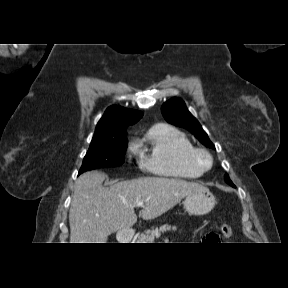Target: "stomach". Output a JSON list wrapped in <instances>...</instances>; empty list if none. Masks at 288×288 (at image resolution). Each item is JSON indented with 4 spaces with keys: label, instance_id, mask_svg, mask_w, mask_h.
I'll use <instances>...</instances> for the list:
<instances>
[{
    "label": "stomach",
    "instance_id": "stomach-1",
    "mask_svg": "<svg viewBox=\"0 0 288 288\" xmlns=\"http://www.w3.org/2000/svg\"><path fill=\"white\" fill-rule=\"evenodd\" d=\"M183 204L188 213L192 215H204L214 208L216 199L208 188L202 187L201 189L187 195ZM120 235L123 236L121 241H126L131 236L128 232L118 234L119 237Z\"/></svg>",
    "mask_w": 288,
    "mask_h": 288
}]
</instances>
